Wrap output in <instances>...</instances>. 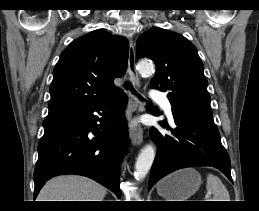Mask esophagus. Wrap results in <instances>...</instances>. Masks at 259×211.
<instances>
[{
	"instance_id": "34e87169",
	"label": "esophagus",
	"mask_w": 259,
	"mask_h": 211,
	"mask_svg": "<svg viewBox=\"0 0 259 211\" xmlns=\"http://www.w3.org/2000/svg\"><path fill=\"white\" fill-rule=\"evenodd\" d=\"M128 72L130 75L131 82L139 87V77L136 71V60H135V47L132 39L129 41V54H128ZM130 102L133 112L138 113L140 111L141 103L139 99L130 93ZM130 139L134 145H140L143 140V130L141 127H136L130 131Z\"/></svg>"
}]
</instances>
